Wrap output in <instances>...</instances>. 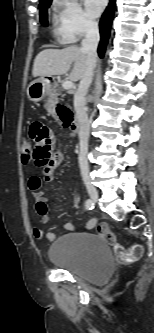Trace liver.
Segmentation results:
<instances>
[{
	"label": "liver",
	"instance_id": "obj_1",
	"mask_svg": "<svg viewBox=\"0 0 154 333\" xmlns=\"http://www.w3.org/2000/svg\"><path fill=\"white\" fill-rule=\"evenodd\" d=\"M87 53L78 46H69L63 49H45L35 58L33 64V77H48L66 74L71 65L73 69L69 75L70 80L82 79L86 71Z\"/></svg>",
	"mask_w": 154,
	"mask_h": 333
}]
</instances>
